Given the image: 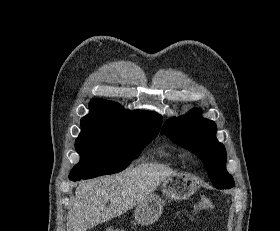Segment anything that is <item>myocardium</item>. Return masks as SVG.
<instances>
[{"label":"myocardium","mask_w":280,"mask_h":231,"mask_svg":"<svg viewBox=\"0 0 280 231\" xmlns=\"http://www.w3.org/2000/svg\"><path fill=\"white\" fill-rule=\"evenodd\" d=\"M193 158H194L193 155H189V156H188V160H189V161H192Z\"/></svg>","instance_id":"1"}]
</instances>
